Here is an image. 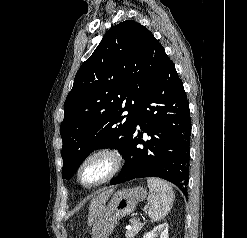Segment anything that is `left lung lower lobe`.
Instances as JSON below:
<instances>
[{
  "mask_svg": "<svg viewBox=\"0 0 247 238\" xmlns=\"http://www.w3.org/2000/svg\"><path fill=\"white\" fill-rule=\"evenodd\" d=\"M137 125L151 137L146 142L142 139L143 132H136ZM190 135L186 93L173 62L167 57L137 112L132 135L123 154L124 166L110 184L159 177L186 193Z\"/></svg>",
  "mask_w": 247,
  "mask_h": 238,
  "instance_id": "left-lung-lower-lobe-1",
  "label": "left lung lower lobe"
}]
</instances>
